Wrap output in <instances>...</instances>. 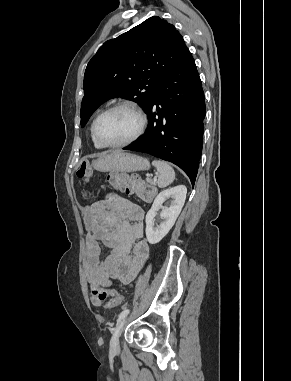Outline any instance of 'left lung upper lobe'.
<instances>
[{"mask_svg": "<svg viewBox=\"0 0 291 381\" xmlns=\"http://www.w3.org/2000/svg\"><path fill=\"white\" fill-rule=\"evenodd\" d=\"M188 50L167 21L153 16L105 42L87 65L81 126L103 102L122 97L145 111L160 82Z\"/></svg>", "mask_w": 291, "mask_h": 381, "instance_id": "left-lung-upper-lobe-1", "label": "left lung upper lobe"}]
</instances>
